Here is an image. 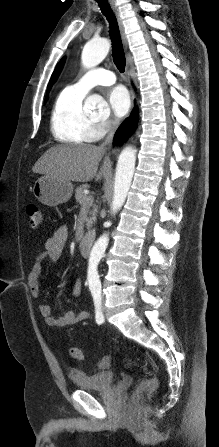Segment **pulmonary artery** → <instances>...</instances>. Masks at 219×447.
I'll return each mask as SVG.
<instances>
[{
  "instance_id": "e3ab8cb5",
  "label": "pulmonary artery",
  "mask_w": 219,
  "mask_h": 447,
  "mask_svg": "<svg viewBox=\"0 0 219 447\" xmlns=\"http://www.w3.org/2000/svg\"><path fill=\"white\" fill-rule=\"evenodd\" d=\"M116 82L113 72L108 70H95L82 76L77 82L72 84L71 88L80 94H86L92 87L96 85H112Z\"/></svg>"
}]
</instances>
